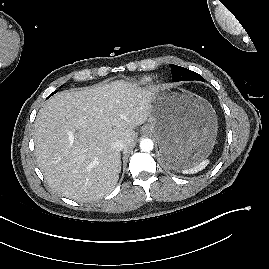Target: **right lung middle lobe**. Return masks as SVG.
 I'll return each mask as SVG.
<instances>
[{"mask_svg":"<svg viewBox=\"0 0 269 269\" xmlns=\"http://www.w3.org/2000/svg\"><path fill=\"white\" fill-rule=\"evenodd\" d=\"M56 92H57V90H56L55 92H53L51 95L55 94ZM51 95H50V96H51ZM50 96H49V97H50Z\"/></svg>","mask_w":269,"mask_h":269,"instance_id":"right-lung-middle-lobe-1","label":"right lung middle lobe"}]
</instances>
